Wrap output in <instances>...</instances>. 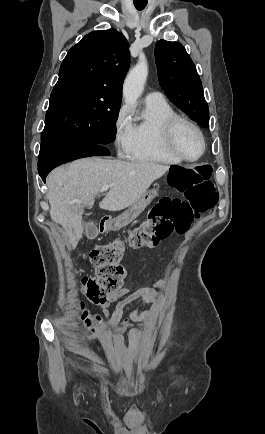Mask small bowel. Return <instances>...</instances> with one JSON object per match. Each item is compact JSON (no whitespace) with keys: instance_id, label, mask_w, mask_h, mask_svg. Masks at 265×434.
Segmentation results:
<instances>
[{"instance_id":"c3829d8e","label":"small bowel","mask_w":265,"mask_h":434,"mask_svg":"<svg viewBox=\"0 0 265 434\" xmlns=\"http://www.w3.org/2000/svg\"><path fill=\"white\" fill-rule=\"evenodd\" d=\"M167 284L164 280L160 279L154 282L151 286L142 287L139 289H130L128 287H121L118 290L112 292L101 306L102 314L108 319L109 332L104 335H99L97 341L106 342L112 339L114 342L112 363L116 373L119 372V358L118 353L124 346V335L129 333L136 338H142L146 340V337L141 331L134 328L133 322L143 319H154L157 317L156 311L140 312L135 308L130 318H121L123 309L131 304L136 303L140 305L143 303L152 302L157 294V290L166 289ZM115 304V310L113 314L109 313V305ZM131 365H134L135 361L131 359Z\"/></svg>"}]
</instances>
